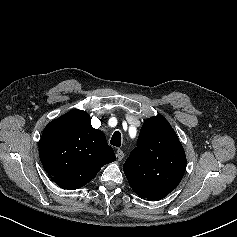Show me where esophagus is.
Listing matches in <instances>:
<instances>
[{"instance_id": "esophagus-1", "label": "esophagus", "mask_w": 237, "mask_h": 237, "mask_svg": "<svg viewBox=\"0 0 237 237\" xmlns=\"http://www.w3.org/2000/svg\"><path fill=\"white\" fill-rule=\"evenodd\" d=\"M116 157L118 161H121L124 158V152L121 149L116 151Z\"/></svg>"}]
</instances>
